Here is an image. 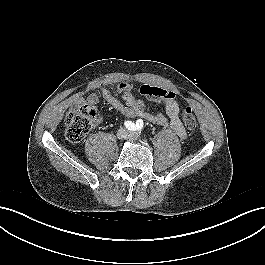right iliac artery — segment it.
<instances>
[{
    "label": "right iliac artery",
    "instance_id": "82829eb1",
    "mask_svg": "<svg viewBox=\"0 0 265 265\" xmlns=\"http://www.w3.org/2000/svg\"><path fill=\"white\" fill-rule=\"evenodd\" d=\"M124 125L129 130H136V125L132 121H125Z\"/></svg>",
    "mask_w": 265,
    "mask_h": 265
}]
</instances>
